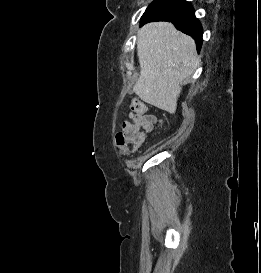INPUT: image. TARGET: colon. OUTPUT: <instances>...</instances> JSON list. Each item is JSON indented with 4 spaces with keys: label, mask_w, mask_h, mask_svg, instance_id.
Here are the masks:
<instances>
[{
    "label": "colon",
    "mask_w": 261,
    "mask_h": 273,
    "mask_svg": "<svg viewBox=\"0 0 261 273\" xmlns=\"http://www.w3.org/2000/svg\"><path fill=\"white\" fill-rule=\"evenodd\" d=\"M131 111L133 113V122L126 129L121 130L116 134V146L123 153L137 151L145 142L146 134L134 127L137 121L142 120L147 116V107L140 100L134 99L131 102Z\"/></svg>",
    "instance_id": "obj_1"
}]
</instances>
